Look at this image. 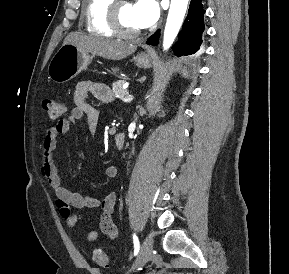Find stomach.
I'll return each instance as SVG.
<instances>
[{"instance_id":"obj_1","label":"stomach","mask_w":289,"mask_h":274,"mask_svg":"<svg viewBox=\"0 0 289 274\" xmlns=\"http://www.w3.org/2000/svg\"><path fill=\"white\" fill-rule=\"evenodd\" d=\"M93 56L80 50L71 43L63 44L48 65V76L56 83H65L78 75L91 62ZM134 62L138 67L149 68L151 57L141 53L134 57Z\"/></svg>"}]
</instances>
